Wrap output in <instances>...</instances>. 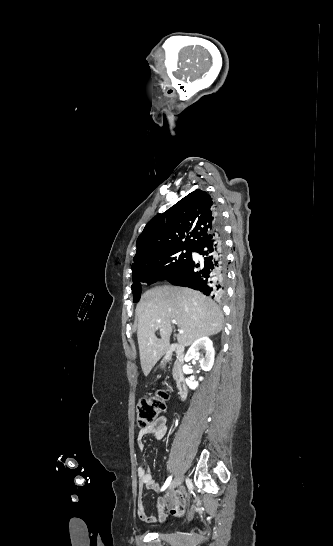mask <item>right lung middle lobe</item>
Wrapping results in <instances>:
<instances>
[{
    "label": "right lung middle lobe",
    "instance_id": "obj_1",
    "mask_svg": "<svg viewBox=\"0 0 333 546\" xmlns=\"http://www.w3.org/2000/svg\"><path fill=\"white\" fill-rule=\"evenodd\" d=\"M193 247H183L164 252L150 264L148 269H143L132 275L133 300L138 302L141 295L140 282L148 284L167 279L173 272L191 258Z\"/></svg>",
    "mask_w": 333,
    "mask_h": 546
}]
</instances>
